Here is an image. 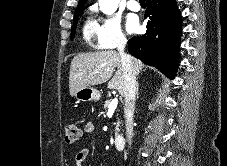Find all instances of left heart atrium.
I'll return each mask as SVG.
<instances>
[{
  "mask_svg": "<svg viewBox=\"0 0 227 166\" xmlns=\"http://www.w3.org/2000/svg\"><path fill=\"white\" fill-rule=\"evenodd\" d=\"M127 29L129 32L133 33V32H137L139 29L138 26V21L135 18H129L127 20Z\"/></svg>",
  "mask_w": 227,
  "mask_h": 166,
  "instance_id": "obj_1",
  "label": "left heart atrium"
}]
</instances>
